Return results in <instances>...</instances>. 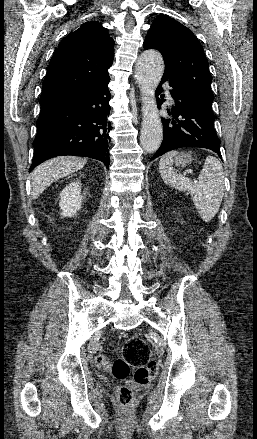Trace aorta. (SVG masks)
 Wrapping results in <instances>:
<instances>
[{
  "label": "aorta",
  "instance_id": "obj_1",
  "mask_svg": "<svg viewBox=\"0 0 257 439\" xmlns=\"http://www.w3.org/2000/svg\"><path fill=\"white\" fill-rule=\"evenodd\" d=\"M164 72V61L156 50L144 51L135 66V78L141 91L143 121L141 146L154 153L162 142L163 128L155 99L156 88Z\"/></svg>",
  "mask_w": 257,
  "mask_h": 439
}]
</instances>
